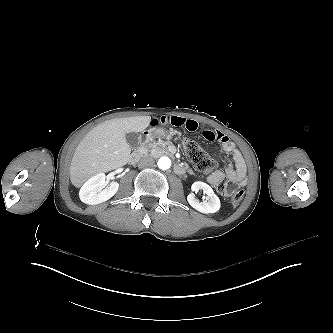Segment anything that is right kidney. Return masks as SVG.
<instances>
[{"label":"right kidney","instance_id":"ca27d5eb","mask_svg":"<svg viewBox=\"0 0 333 333\" xmlns=\"http://www.w3.org/2000/svg\"><path fill=\"white\" fill-rule=\"evenodd\" d=\"M106 188L101 192L98 189ZM118 182H108L105 174H98L89 179L81 188L79 197L80 200L88 205H98L111 199L118 191Z\"/></svg>","mask_w":333,"mask_h":333}]
</instances>
